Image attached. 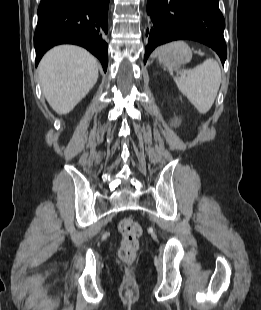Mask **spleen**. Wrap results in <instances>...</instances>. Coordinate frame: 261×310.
<instances>
[{
    "mask_svg": "<svg viewBox=\"0 0 261 310\" xmlns=\"http://www.w3.org/2000/svg\"><path fill=\"white\" fill-rule=\"evenodd\" d=\"M168 70L172 72L173 68L168 66ZM174 81L198 112L206 114L212 107L220 87L219 64L214 59H206L195 68L177 71Z\"/></svg>",
    "mask_w": 261,
    "mask_h": 310,
    "instance_id": "3e777b00",
    "label": "spleen"
}]
</instances>
